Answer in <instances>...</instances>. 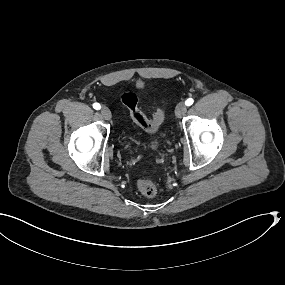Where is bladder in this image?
<instances>
[{
    "mask_svg": "<svg viewBox=\"0 0 285 285\" xmlns=\"http://www.w3.org/2000/svg\"><path fill=\"white\" fill-rule=\"evenodd\" d=\"M140 143L144 147H156L158 145V142L155 138H152L149 141H140Z\"/></svg>",
    "mask_w": 285,
    "mask_h": 285,
    "instance_id": "bladder-1",
    "label": "bladder"
}]
</instances>
